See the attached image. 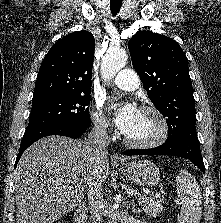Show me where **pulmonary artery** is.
<instances>
[{"label":"pulmonary artery","mask_w":221,"mask_h":223,"mask_svg":"<svg viewBox=\"0 0 221 223\" xmlns=\"http://www.w3.org/2000/svg\"><path fill=\"white\" fill-rule=\"evenodd\" d=\"M113 83L120 89L132 91L139 87L140 81L135 71L124 69L115 76Z\"/></svg>","instance_id":"e3ab8cb5"}]
</instances>
